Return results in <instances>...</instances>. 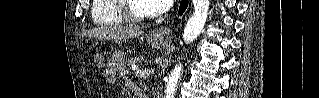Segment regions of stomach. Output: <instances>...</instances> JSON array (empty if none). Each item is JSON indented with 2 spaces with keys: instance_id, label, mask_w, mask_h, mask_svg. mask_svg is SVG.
Wrapping results in <instances>:
<instances>
[{
  "instance_id": "obj_1",
  "label": "stomach",
  "mask_w": 319,
  "mask_h": 98,
  "mask_svg": "<svg viewBox=\"0 0 319 98\" xmlns=\"http://www.w3.org/2000/svg\"><path fill=\"white\" fill-rule=\"evenodd\" d=\"M149 43L151 44L152 47L156 48V49H160L166 46V41L163 38H156V37H150L149 38ZM116 69L115 68H111L108 69L105 73L106 78L110 81V82H115L116 81Z\"/></svg>"
}]
</instances>
